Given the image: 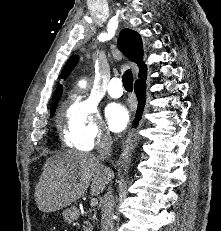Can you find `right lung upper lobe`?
Instances as JSON below:
<instances>
[{"label":"right lung upper lobe","mask_w":221,"mask_h":231,"mask_svg":"<svg viewBox=\"0 0 221 231\" xmlns=\"http://www.w3.org/2000/svg\"><path fill=\"white\" fill-rule=\"evenodd\" d=\"M118 47L130 61H133L138 65L140 80H137L136 82L146 80L147 66L143 61V45L140 35L134 30L127 28L123 29L118 38ZM77 62L78 56H72L69 58L62 70V79H66L69 76ZM62 90V85L58 84L51 107L57 105L62 95Z\"/></svg>","instance_id":"1"}]
</instances>
